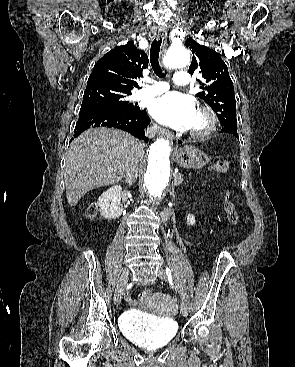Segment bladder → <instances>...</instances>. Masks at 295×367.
I'll return each instance as SVG.
<instances>
[{
	"label": "bladder",
	"mask_w": 295,
	"mask_h": 367,
	"mask_svg": "<svg viewBox=\"0 0 295 367\" xmlns=\"http://www.w3.org/2000/svg\"><path fill=\"white\" fill-rule=\"evenodd\" d=\"M134 314L127 312V316L122 320V327L125 332L132 338L150 342L157 346H162L169 343L177 334V324L173 319H167L161 323L148 327L150 332L147 335L138 331L133 323Z\"/></svg>",
	"instance_id": "1"
}]
</instances>
